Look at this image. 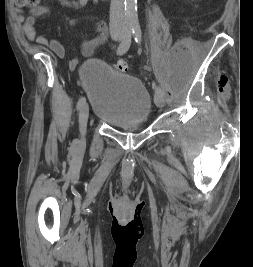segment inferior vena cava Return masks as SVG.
Wrapping results in <instances>:
<instances>
[{
  "label": "inferior vena cava",
  "mask_w": 253,
  "mask_h": 267,
  "mask_svg": "<svg viewBox=\"0 0 253 267\" xmlns=\"http://www.w3.org/2000/svg\"><path fill=\"white\" fill-rule=\"evenodd\" d=\"M125 26L124 0H111L110 30H123Z\"/></svg>",
  "instance_id": "obj_1"
}]
</instances>
